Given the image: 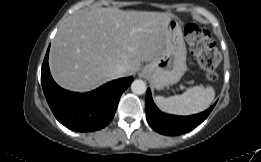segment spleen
Returning <instances> with one entry per match:
<instances>
[{
	"mask_svg": "<svg viewBox=\"0 0 261 162\" xmlns=\"http://www.w3.org/2000/svg\"><path fill=\"white\" fill-rule=\"evenodd\" d=\"M214 97L213 87L195 86L181 95L168 98L156 96L155 103L163 112L175 115H191L207 109L213 102Z\"/></svg>",
	"mask_w": 261,
	"mask_h": 162,
	"instance_id": "3e777b00",
	"label": "spleen"
}]
</instances>
